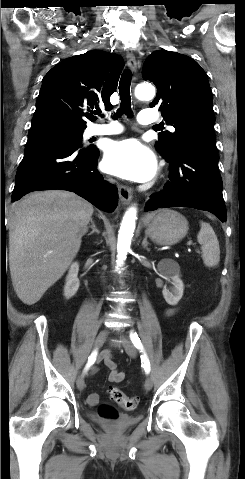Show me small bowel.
<instances>
[{
  "mask_svg": "<svg viewBox=\"0 0 245 479\" xmlns=\"http://www.w3.org/2000/svg\"><path fill=\"white\" fill-rule=\"evenodd\" d=\"M172 310L167 312L168 315L172 314ZM100 360L104 362V364L110 369L109 374V381L113 383H119L124 380L125 373L118 369L116 362L112 359L111 354L109 351H104L101 356ZM87 401L89 405L93 406L98 402V395L92 393L88 396Z\"/></svg>",
  "mask_w": 245,
  "mask_h": 479,
  "instance_id": "small-bowel-1",
  "label": "small bowel"
}]
</instances>
